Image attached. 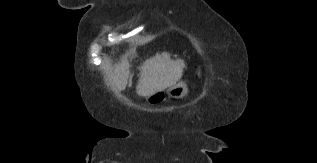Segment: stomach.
Returning <instances> with one entry per match:
<instances>
[{
  "mask_svg": "<svg viewBox=\"0 0 317 163\" xmlns=\"http://www.w3.org/2000/svg\"><path fill=\"white\" fill-rule=\"evenodd\" d=\"M199 75L201 74V71L199 70ZM188 92L187 85L184 82H180L172 87H169L167 89V94L172 98H183ZM164 100V92H157L154 95H151L149 97H146V101L149 104H158L161 103Z\"/></svg>",
  "mask_w": 317,
  "mask_h": 163,
  "instance_id": "obj_1",
  "label": "stomach"
}]
</instances>
